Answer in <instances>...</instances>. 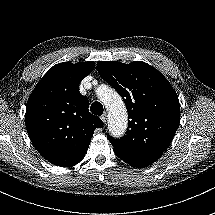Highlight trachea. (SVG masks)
<instances>
[{
    "label": "trachea",
    "mask_w": 215,
    "mask_h": 215,
    "mask_svg": "<svg viewBox=\"0 0 215 215\" xmlns=\"http://www.w3.org/2000/svg\"><path fill=\"white\" fill-rule=\"evenodd\" d=\"M90 110L95 115H102L104 111L102 104L97 101L91 104Z\"/></svg>",
    "instance_id": "3493384b"
}]
</instances>
